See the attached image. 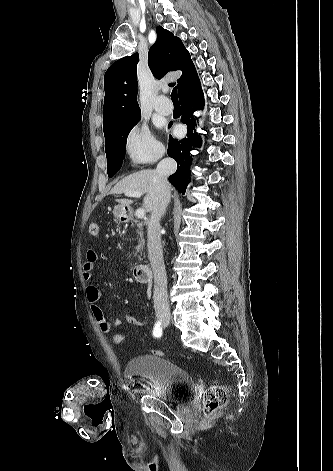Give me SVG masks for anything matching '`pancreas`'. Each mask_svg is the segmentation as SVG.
<instances>
[{
	"mask_svg": "<svg viewBox=\"0 0 333 471\" xmlns=\"http://www.w3.org/2000/svg\"><path fill=\"white\" fill-rule=\"evenodd\" d=\"M131 226L133 228L134 227L137 228L136 231H135V235H136L137 240H138V244L136 245V247H134L133 255L135 257H138L139 259H141L137 254L140 253L145 247V241H144V238H143V235H144L143 226H142V223H140L137 220H134ZM130 240L134 241L135 238L132 237V238H130Z\"/></svg>",
	"mask_w": 333,
	"mask_h": 471,
	"instance_id": "1",
	"label": "pancreas"
}]
</instances>
